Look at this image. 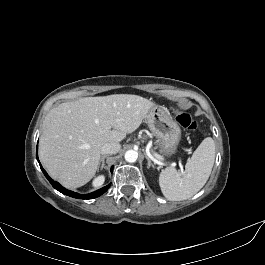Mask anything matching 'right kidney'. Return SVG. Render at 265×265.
I'll return each instance as SVG.
<instances>
[{"label": "right kidney", "mask_w": 265, "mask_h": 265, "mask_svg": "<svg viewBox=\"0 0 265 265\" xmlns=\"http://www.w3.org/2000/svg\"><path fill=\"white\" fill-rule=\"evenodd\" d=\"M104 180H105V178H104V176H98L94 181H93V186L94 187H99V186H101L103 183H104Z\"/></svg>", "instance_id": "1"}]
</instances>
